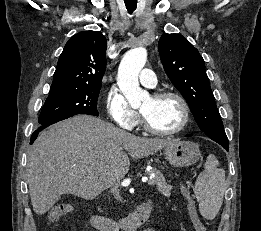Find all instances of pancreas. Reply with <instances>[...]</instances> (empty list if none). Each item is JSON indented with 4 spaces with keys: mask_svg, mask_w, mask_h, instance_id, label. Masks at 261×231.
<instances>
[{
    "mask_svg": "<svg viewBox=\"0 0 261 231\" xmlns=\"http://www.w3.org/2000/svg\"><path fill=\"white\" fill-rule=\"evenodd\" d=\"M149 175H154L153 178V185L156 186L157 190L159 193L163 194L166 197H170L171 195V190L173 189V186L168 184L165 179L163 178L162 174L160 171L156 169H152L151 171L148 172Z\"/></svg>",
    "mask_w": 261,
    "mask_h": 231,
    "instance_id": "1",
    "label": "pancreas"
}]
</instances>
